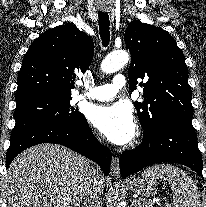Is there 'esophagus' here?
<instances>
[{
	"mask_svg": "<svg viewBox=\"0 0 206 207\" xmlns=\"http://www.w3.org/2000/svg\"><path fill=\"white\" fill-rule=\"evenodd\" d=\"M111 172H112L113 176H115L117 178L120 176L119 158L116 155H113V157H112Z\"/></svg>",
	"mask_w": 206,
	"mask_h": 207,
	"instance_id": "34e87169",
	"label": "esophagus"
}]
</instances>
